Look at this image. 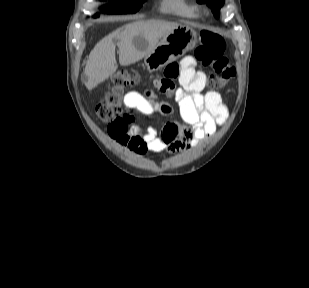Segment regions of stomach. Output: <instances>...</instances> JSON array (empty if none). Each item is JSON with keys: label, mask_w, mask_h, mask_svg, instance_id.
Instances as JSON below:
<instances>
[{"label": "stomach", "mask_w": 309, "mask_h": 288, "mask_svg": "<svg viewBox=\"0 0 309 288\" xmlns=\"http://www.w3.org/2000/svg\"><path fill=\"white\" fill-rule=\"evenodd\" d=\"M196 43L197 32L189 25L179 24L159 41L151 53L145 56V65L149 71L162 69L193 49Z\"/></svg>", "instance_id": "stomach-1"}]
</instances>
